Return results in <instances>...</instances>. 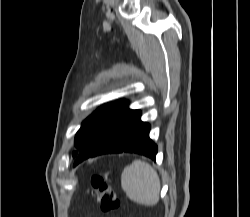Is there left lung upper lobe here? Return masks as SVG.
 <instances>
[{"mask_svg":"<svg viewBox=\"0 0 250 217\" xmlns=\"http://www.w3.org/2000/svg\"><path fill=\"white\" fill-rule=\"evenodd\" d=\"M124 100L105 104L92 113L83 123L75 136V146L78 149L72 153L75 158L90 142L102 126L117 112L124 104Z\"/></svg>","mask_w":250,"mask_h":217,"instance_id":"1","label":"left lung upper lobe"}]
</instances>
